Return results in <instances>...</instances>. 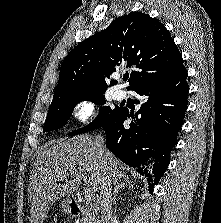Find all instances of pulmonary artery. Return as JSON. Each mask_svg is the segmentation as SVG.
I'll list each match as a JSON object with an SVG mask.
<instances>
[{
	"mask_svg": "<svg viewBox=\"0 0 221 223\" xmlns=\"http://www.w3.org/2000/svg\"><path fill=\"white\" fill-rule=\"evenodd\" d=\"M114 97L117 99V100H122L126 97V92L125 90L123 89H117L114 93Z\"/></svg>",
	"mask_w": 221,
	"mask_h": 223,
	"instance_id": "obj_1",
	"label": "pulmonary artery"
}]
</instances>
